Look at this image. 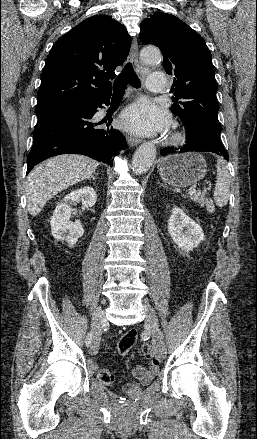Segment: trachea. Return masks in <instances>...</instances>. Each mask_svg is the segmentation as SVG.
Returning a JSON list of instances; mask_svg holds the SVG:
<instances>
[{"label": "trachea", "mask_w": 257, "mask_h": 439, "mask_svg": "<svg viewBox=\"0 0 257 439\" xmlns=\"http://www.w3.org/2000/svg\"><path fill=\"white\" fill-rule=\"evenodd\" d=\"M135 88L141 87V81L135 73L131 63H127L121 73L118 75L113 85V95L119 96L125 93L127 84Z\"/></svg>", "instance_id": "1"}]
</instances>
